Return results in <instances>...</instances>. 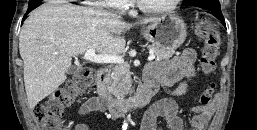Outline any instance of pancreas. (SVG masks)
Returning <instances> with one entry per match:
<instances>
[{"label":"pancreas","instance_id":"cf45deb5","mask_svg":"<svg viewBox=\"0 0 257 130\" xmlns=\"http://www.w3.org/2000/svg\"><path fill=\"white\" fill-rule=\"evenodd\" d=\"M150 51H153L156 60H168L175 53L174 49H165L157 46H148ZM130 68L125 64H119L114 67L113 72L108 77L109 92L117 99L125 96L131 86Z\"/></svg>","mask_w":257,"mask_h":130}]
</instances>
